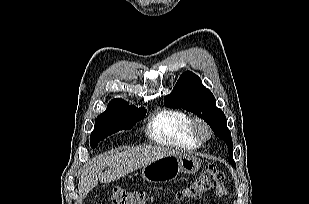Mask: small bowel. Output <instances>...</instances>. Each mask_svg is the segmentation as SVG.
<instances>
[{"label": "small bowel", "instance_id": "1", "mask_svg": "<svg viewBox=\"0 0 309 204\" xmlns=\"http://www.w3.org/2000/svg\"><path fill=\"white\" fill-rule=\"evenodd\" d=\"M216 193L220 196L226 195L227 194V190L225 188V186L223 184H219L216 187Z\"/></svg>", "mask_w": 309, "mask_h": 204}]
</instances>
